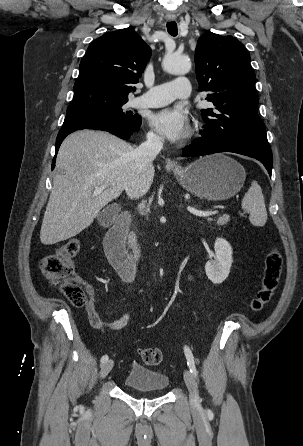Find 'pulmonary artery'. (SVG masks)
I'll list each match as a JSON object with an SVG mask.
<instances>
[{"label":"pulmonary artery","mask_w":303,"mask_h":446,"mask_svg":"<svg viewBox=\"0 0 303 446\" xmlns=\"http://www.w3.org/2000/svg\"><path fill=\"white\" fill-rule=\"evenodd\" d=\"M190 96V82L185 77L157 85L133 101L136 107H160L175 99H185Z\"/></svg>","instance_id":"pulmonary-artery-1"}]
</instances>
